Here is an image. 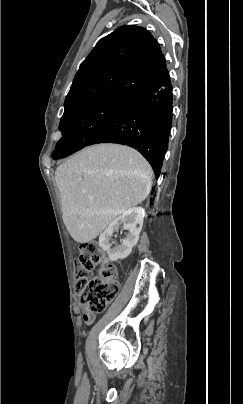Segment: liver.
<instances>
[{
	"label": "liver",
	"instance_id": "1",
	"mask_svg": "<svg viewBox=\"0 0 243 404\" xmlns=\"http://www.w3.org/2000/svg\"><path fill=\"white\" fill-rule=\"evenodd\" d=\"M152 168L128 146L97 144L60 164L55 180L63 222L73 240H95L117 216L141 204L151 190Z\"/></svg>",
	"mask_w": 243,
	"mask_h": 404
}]
</instances>
